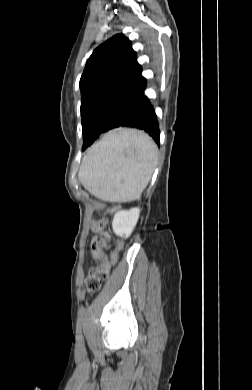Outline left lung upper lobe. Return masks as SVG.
I'll list each match as a JSON object with an SVG mask.
<instances>
[{
    "label": "left lung upper lobe",
    "instance_id": "1",
    "mask_svg": "<svg viewBox=\"0 0 252 390\" xmlns=\"http://www.w3.org/2000/svg\"><path fill=\"white\" fill-rule=\"evenodd\" d=\"M131 41L117 34L98 46L80 79L83 130L102 116H115L146 85Z\"/></svg>",
    "mask_w": 252,
    "mask_h": 390
}]
</instances>
